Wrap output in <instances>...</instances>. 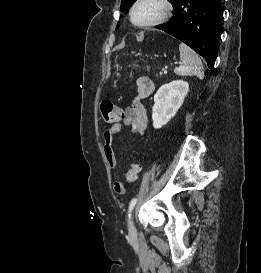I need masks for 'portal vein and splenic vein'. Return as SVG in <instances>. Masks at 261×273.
Returning <instances> with one entry per match:
<instances>
[{"mask_svg": "<svg viewBox=\"0 0 261 273\" xmlns=\"http://www.w3.org/2000/svg\"><path fill=\"white\" fill-rule=\"evenodd\" d=\"M163 72H164V73H167V71H166V70H163Z\"/></svg>", "mask_w": 261, "mask_h": 273, "instance_id": "obj_1", "label": "portal vein and splenic vein"}]
</instances>
